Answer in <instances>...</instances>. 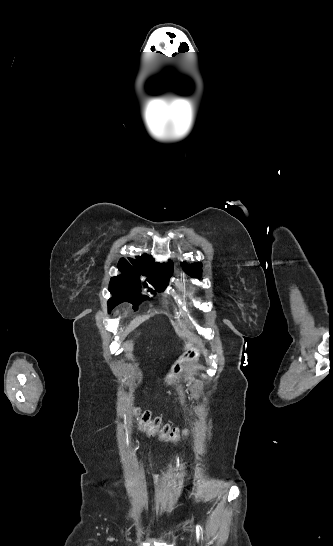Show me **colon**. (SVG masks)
<instances>
[{
  "mask_svg": "<svg viewBox=\"0 0 333 546\" xmlns=\"http://www.w3.org/2000/svg\"><path fill=\"white\" fill-rule=\"evenodd\" d=\"M137 424L141 431L164 442L177 444L182 437L180 429L164 424L160 418L154 417L149 411L138 410Z\"/></svg>",
  "mask_w": 333,
  "mask_h": 546,
  "instance_id": "colon-1",
  "label": "colon"
}]
</instances>
